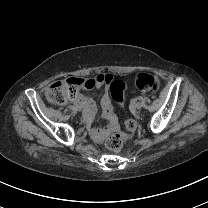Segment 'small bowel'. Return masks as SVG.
Here are the masks:
<instances>
[{
	"instance_id": "c3829d8e",
	"label": "small bowel",
	"mask_w": 208,
	"mask_h": 208,
	"mask_svg": "<svg viewBox=\"0 0 208 208\" xmlns=\"http://www.w3.org/2000/svg\"><path fill=\"white\" fill-rule=\"evenodd\" d=\"M95 87L98 89L99 88L104 89L101 99V105H102L103 115L107 119L109 124H106L103 128H100L101 131L100 133H95L93 129H88L86 131V136L88 138H91L93 142H101V141H105L107 139V136L114 131L117 123L110 105L107 85L99 84ZM73 100L75 104L84 107V112H83L85 116L84 124L86 126H91L93 124V118H94L92 101L89 98L82 96L80 94L75 95Z\"/></svg>"
}]
</instances>
